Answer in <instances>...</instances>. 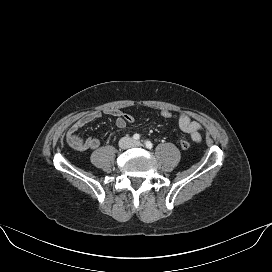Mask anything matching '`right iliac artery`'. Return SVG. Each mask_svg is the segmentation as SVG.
Here are the masks:
<instances>
[{"label":"right iliac artery","mask_w":272,"mask_h":272,"mask_svg":"<svg viewBox=\"0 0 272 272\" xmlns=\"http://www.w3.org/2000/svg\"><path fill=\"white\" fill-rule=\"evenodd\" d=\"M133 139H134V140H139V139H140V135L137 134V133L134 134V135H133Z\"/></svg>","instance_id":"right-iliac-artery-1"}]
</instances>
